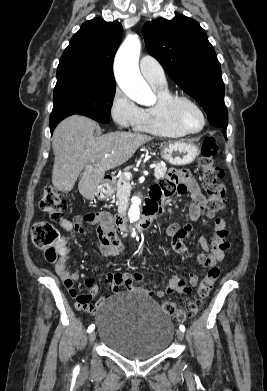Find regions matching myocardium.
<instances>
[{
	"label": "myocardium",
	"mask_w": 267,
	"mask_h": 391,
	"mask_svg": "<svg viewBox=\"0 0 267 391\" xmlns=\"http://www.w3.org/2000/svg\"><path fill=\"white\" fill-rule=\"evenodd\" d=\"M181 103H187L191 106H193L201 115L202 117V126L199 130L192 131L189 130L180 120L178 114H177V107ZM163 109L166 114V116L169 118V120L174 123L178 128H180L182 131H184L186 134H198L202 132L206 125H207V118L205 115L204 110L202 107L194 101L192 98L185 96V95H171L169 98H167L163 102Z\"/></svg>",
	"instance_id": "f54148a6"
}]
</instances>
